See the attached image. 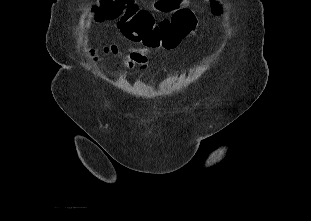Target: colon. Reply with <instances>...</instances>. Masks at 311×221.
I'll return each mask as SVG.
<instances>
[{"mask_svg": "<svg viewBox=\"0 0 311 221\" xmlns=\"http://www.w3.org/2000/svg\"><path fill=\"white\" fill-rule=\"evenodd\" d=\"M208 8L214 17H223V7L214 0H207ZM98 16L91 15L89 20L100 26L102 22H112L119 17V32L124 39H134L151 49L172 50L186 37L194 34L196 21L189 11H178L171 18H164L159 24L152 21L150 12L140 8L133 0H108L97 4Z\"/></svg>", "mask_w": 311, "mask_h": 221, "instance_id": "obj_1", "label": "colon"}]
</instances>
